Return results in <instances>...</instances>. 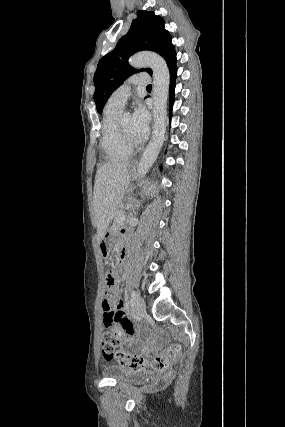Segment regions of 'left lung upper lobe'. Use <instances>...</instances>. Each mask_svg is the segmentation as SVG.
I'll return each mask as SVG.
<instances>
[{
	"instance_id": "left-lung-upper-lobe-1",
	"label": "left lung upper lobe",
	"mask_w": 285,
	"mask_h": 427,
	"mask_svg": "<svg viewBox=\"0 0 285 427\" xmlns=\"http://www.w3.org/2000/svg\"><path fill=\"white\" fill-rule=\"evenodd\" d=\"M164 26V20L153 11H139L129 32L119 40L113 51L99 61L94 74V101L98 113H102L106 101L124 80L137 72L128 64L132 54L142 50L155 51L167 63L176 56L172 37ZM138 71L152 74L149 68Z\"/></svg>"
}]
</instances>
